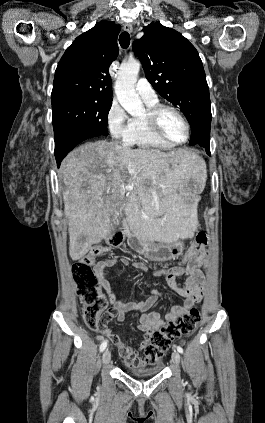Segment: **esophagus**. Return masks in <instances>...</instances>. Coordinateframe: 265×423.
<instances>
[{"instance_id": "esophagus-1", "label": "esophagus", "mask_w": 265, "mask_h": 423, "mask_svg": "<svg viewBox=\"0 0 265 423\" xmlns=\"http://www.w3.org/2000/svg\"><path fill=\"white\" fill-rule=\"evenodd\" d=\"M124 31L128 32V33H132L133 31V27L132 24L130 23H125L124 27H123Z\"/></svg>"}]
</instances>
